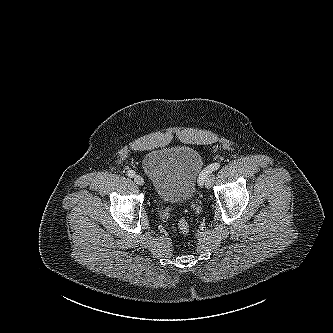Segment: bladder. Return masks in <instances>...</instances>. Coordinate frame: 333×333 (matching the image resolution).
Listing matches in <instances>:
<instances>
[{"label":"bladder","instance_id":"obj_1","mask_svg":"<svg viewBox=\"0 0 333 333\" xmlns=\"http://www.w3.org/2000/svg\"><path fill=\"white\" fill-rule=\"evenodd\" d=\"M142 167L160 200L180 203L194 197L203 159L191 147H165L149 151Z\"/></svg>","mask_w":333,"mask_h":333}]
</instances>
